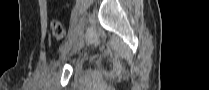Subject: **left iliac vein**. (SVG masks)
I'll use <instances>...</instances> for the list:
<instances>
[{"mask_svg": "<svg viewBox=\"0 0 209 90\" xmlns=\"http://www.w3.org/2000/svg\"><path fill=\"white\" fill-rule=\"evenodd\" d=\"M76 24H77L76 28L73 29V36L70 37L60 47L61 56H65L72 49L81 48L82 45H83L82 42H80L79 44H77L76 43V39H80L81 34H83V31L85 30V29H79V24H86V16H84L82 19H79V21H77Z\"/></svg>", "mask_w": 209, "mask_h": 90, "instance_id": "1", "label": "left iliac vein"}]
</instances>
